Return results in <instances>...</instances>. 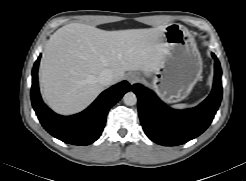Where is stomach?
Instances as JSON below:
<instances>
[{
  "mask_svg": "<svg viewBox=\"0 0 246 181\" xmlns=\"http://www.w3.org/2000/svg\"><path fill=\"white\" fill-rule=\"evenodd\" d=\"M167 52L155 71L152 87L168 103L185 99L202 74V59L188 30L177 24L164 32Z\"/></svg>",
  "mask_w": 246,
  "mask_h": 181,
  "instance_id": "stomach-1",
  "label": "stomach"
}]
</instances>
